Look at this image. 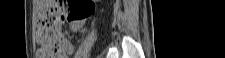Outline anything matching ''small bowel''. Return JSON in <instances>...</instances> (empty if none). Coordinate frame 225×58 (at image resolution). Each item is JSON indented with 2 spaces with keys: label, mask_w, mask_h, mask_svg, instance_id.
Here are the masks:
<instances>
[{
  "label": "small bowel",
  "mask_w": 225,
  "mask_h": 58,
  "mask_svg": "<svg viewBox=\"0 0 225 58\" xmlns=\"http://www.w3.org/2000/svg\"><path fill=\"white\" fill-rule=\"evenodd\" d=\"M82 25H83V21L82 20H80V21H71L70 22V29L72 31L76 32V31L80 30ZM62 45H63L64 50H65V58H67L68 54H71L73 52V46L67 39H64L62 41Z\"/></svg>",
  "instance_id": "1"
}]
</instances>
